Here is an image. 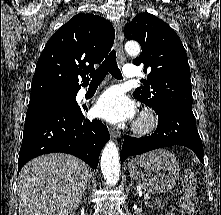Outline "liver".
<instances>
[{
	"label": "liver",
	"instance_id": "6515ba94",
	"mask_svg": "<svg viewBox=\"0 0 221 215\" xmlns=\"http://www.w3.org/2000/svg\"><path fill=\"white\" fill-rule=\"evenodd\" d=\"M19 178V215H68L79 206L90 171L77 157L52 153L29 161Z\"/></svg>",
	"mask_w": 221,
	"mask_h": 215
}]
</instances>
